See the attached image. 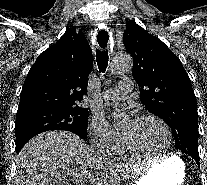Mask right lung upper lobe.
I'll return each mask as SVG.
<instances>
[{
    "label": "right lung upper lobe",
    "mask_w": 207,
    "mask_h": 185,
    "mask_svg": "<svg viewBox=\"0 0 207 185\" xmlns=\"http://www.w3.org/2000/svg\"><path fill=\"white\" fill-rule=\"evenodd\" d=\"M92 67V51L83 33L67 28L29 70L18 110L34 107L87 110L79 103L87 93V78Z\"/></svg>",
    "instance_id": "obj_1"
}]
</instances>
